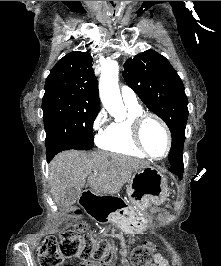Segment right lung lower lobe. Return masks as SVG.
<instances>
[{"instance_id":"obj_1","label":"right lung lower lobe","mask_w":221,"mask_h":266,"mask_svg":"<svg viewBox=\"0 0 221 266\" xmlns=\"http://www.w3.org/2000/svg\"><path fill=\"white\" fill-rule=\"evenodd\" d=\"M53 157V155H47V161L49 162Z\"/></svg>"}]
</instances>
